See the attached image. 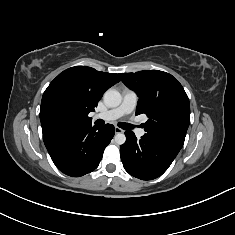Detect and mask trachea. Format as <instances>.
<instances>
[{"label": "trachea", "mask_w": 235, "mask_h": 235, "mask_svg": "<svg viewBox=\"0 0 235 235\" xmlns=\"http://www.w3.org/2000/svg\"><path fill=\"white\" fill-rule=\"evenodd\" d=\"M95 123H96L97 125H103V124H104V121L99 119V120H97ZM118 126H119L120 128H122V129H124V130H130V129H133V128H134L133 125L128 124V123H125V122H119V123H118Z\"/></svg>", "instance_id": "obj_1"}]
</instances>
